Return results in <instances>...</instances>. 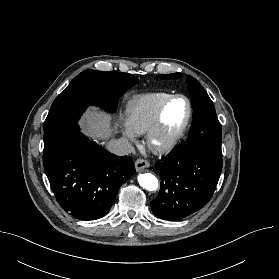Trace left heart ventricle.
I'll use <instances>...</instances> for the list:
<instances>
[{
    "label": "left heart ventricle",
    "instance_id": "1",
    "mask_svg": "<svg viewBox=\"0 0 279 279\" xmlns=\"http://www.w3.org/2000/svg\"><path fill=\"white\" fill-rule=\"evenodd\" d=\"M186 115V102L182 99L172 101L164 113L162 136H168L177 131L183 124Z\"/></svg>",
    "mask_w": 279,
    "mask_h": 279
}]
</instances>
